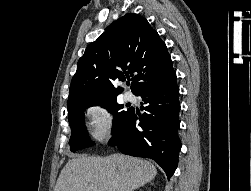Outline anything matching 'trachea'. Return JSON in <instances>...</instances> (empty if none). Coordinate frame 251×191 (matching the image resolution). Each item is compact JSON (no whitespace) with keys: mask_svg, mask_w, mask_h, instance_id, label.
Listing matches in <instances>:
<instances>
[{"mask_svg":"<svg viewBox=\"0 0 251 191\" xmlns=\"http://www.w3.org/2000/svg\"><path fill=\"white\" fill-rule=\"evenodd\" d=\"M127 85H130L129 80L126 82Z\"/></svg>","mask_w":251,"mask_h":191,"instance_id":"3493384b","label":"trachea"}]
</instances>
